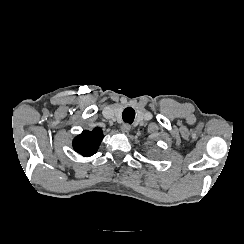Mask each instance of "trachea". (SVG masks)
<instances>
[{"mask_svg":"<svg viewBox=\"0 0 244 244\" xmlns=\"http://www.w3.org/2000/svg\"><path fill=\"white\" fill-rule=\"evenodd\" d=\"M134 118H135V111L133 108L127 107L126 109H124L122 113V119L124 122L131 124L134 121Z\"/></svg>","mask_w":244,"mask_h":244,"instance_id":"1","label":"trachea"}]
</instances>
